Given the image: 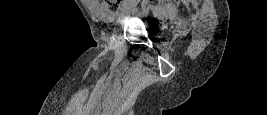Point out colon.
<instances>
[{
    "mask_svg": "<svg viewBox=\"0 0 267 115\" xmlns=\"http://www.w3.org/2000/svg\"><path fill=\"white\" fill-rule=\"evenodd\" d=\"M102 2L109 10L116 11L119 9L124 0H103ZM159 4L160 0H144L143 9L147 10L150 7L158 6Z\"/></svg>",
    "mask_w": 267,
    "mask_h": 115,
    "instance_id": "1",
    "label": "colon"
}]
</instances>
